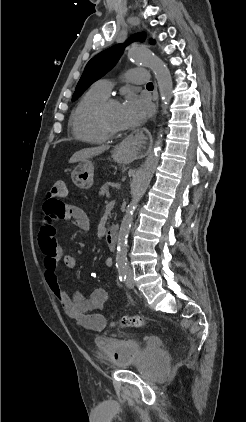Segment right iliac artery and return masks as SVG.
<instances>
[{"label": "right iliac artery", "instance_id": "82829eb1", "mask_svg": "<svg viewBox=\"0 0 246 422\" xmlns=\"http://www.w3.org/2000/svg\"><path fill=\"white\" fill-rule=\"evenodd\" d=\"M118 274H119V280L120 281H124L126 279V270L125 269H120Z\"/></svg>", "mask_w": 246, "mask_h": 422}]
</instances>
